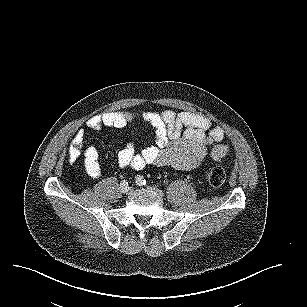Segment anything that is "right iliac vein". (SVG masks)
<instances>
[{
  "mask_svg": "<svg viewBox=\"0 0 307 307\" xmlns=\"http://www.w3.org/2000/svg\"><path fill=\"white\" fill-rule=\"evenodd\" d=\"M121 192L124 194H130L131 193V188L130 187H121Z\"/></svg>",
  "mask_w": 307,
  "mask_h": 307,
  "instance_id": "obj_1",
  "label": "right iliac vein"
}]
</instances>
